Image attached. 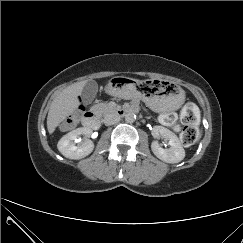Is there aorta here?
<instances>
[{"mask_svg":"<svg viewBox=\"0 0 243 243\" xmlns=\"http://www.w3.org/2000/svg\"><path fill=\"white\" fill-rule=\"evenodd\" d=\"M136 120V115L133 112H128L125 114V121L127 123H133Z\"/></svg>","mask_w":243,"mask_h":243,"instance_id":"762f6f07","label":"aorta"}]
</instances>
